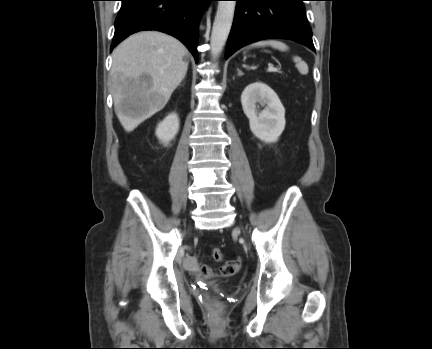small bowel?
I'll return each mask as SVG.
<instances>
[{
  "instance_id": "c3829d8e",
  "label": "small bowel",
  "mask_w": 432,
  "mask_h": 349,
  "mask_svg": "<svg viewBox=\"0 0 432 349\" xmlns=\"http://www.w3.org/2000/svg\"><path fill=\"white\" fill-rule=\"evenodd\" d=\"M241 266V261L239 259L231 260L227 262L224 266L217 270L212 269L209 266H203L201 269L202 275L208 280L229 278L237 274Z\"/></svg>"
}]
</instances>
